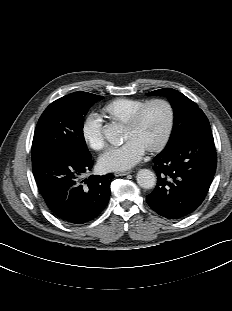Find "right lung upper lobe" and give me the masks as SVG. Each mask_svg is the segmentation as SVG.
Here are the masks:
<instances>
[{"label": "right lung upper lobe", "instance_id": "right-lung-upper-lobe-1", "mask_svg": "<svg viewBox=\"0 0 232 311\" xmlns=\"http://www.w3.org/2000/svg\"><path fill=\"white\" fill-rule=\"evenodd\" d=\"M79 92H82V91H79ZM74 93H78V92H74ZM85 93H87V92H85ZM73 94V93H72ZM91 94V93H90ZM98 96V95H97Z\"/></svg>", "mask_w": 232, "mask_h": 311}]
</instances>
